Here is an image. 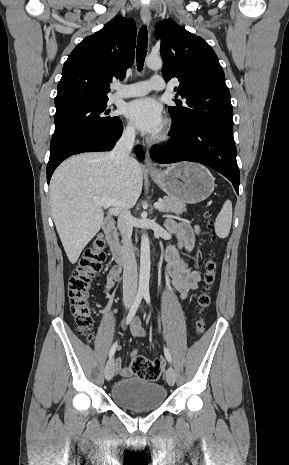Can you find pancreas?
I'll list each match as a JSON object with an SVG mask.
<instances>
[{
	"instance_id": "obj_1",
	"label": "pancreas",
	"mask_w": 289,
	"mask_h": 465,
	"mask_svg": "<svg viewBox=\"0 0 289 465\" xmlns=\"http://www.w3.org/2000/svg\"><path fill=\"white\" fill-rule=\"evenodd\" d=\"M161 203L162 206L159 208L161 212H172L175 214H182L187 210L185 203L172 197H164Z\"/></svg>"
}]
</instances>
